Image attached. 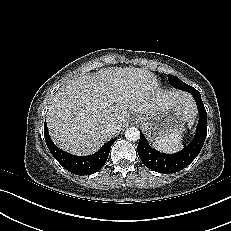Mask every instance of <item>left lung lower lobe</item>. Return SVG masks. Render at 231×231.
I'll use <instances>...</instances> for the list:
<instances>
[{
    "label": "left lung lower lobe",
    "mask_w": 231,
    "mask_h": 231,
    "mask_svg": "<svg viewBox=\"0 0 231 231\" xmlns=\"http://www.w3.org/2000/svg\"><path fill=\"white\" fill-rule=\"evenodd\" d=\"M189 93L195 98L199 111V122L195 138L182 151L174 154L160 153L149 146L145 136L140 132L138 155L143 164L153 171L169 174L182 170L197 157L204 144L207 134L206 110L200 92L193 89Z\"/></svg>",
    "instance_id": "obj_1"
}]
</instances>
